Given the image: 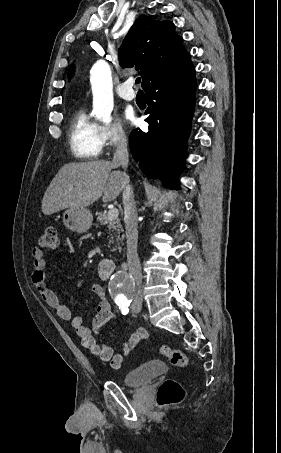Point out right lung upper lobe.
Here are the masks:
<instances>
[{"label":"right lung upper lobe","mask_w":281,"mask_h":453,"mask_svg":"<svg viewBox=\"0 0 281 453\" xmlns=\"http://www.w3.org/2000/svg\"><path fill=\"white\" fill-rule=\"evenodd\" d=\"M186 52L183 39L171 21L141 15L130 28L119 50L120 65L139 70L144 82ZM73 75L70 68L68 77Z\"/></svg>","instance_id":"1"}]
</instances>
